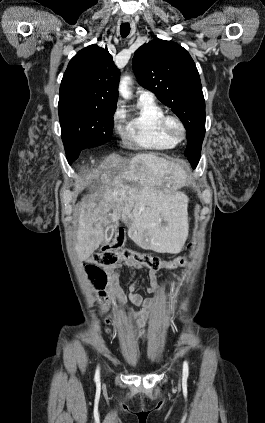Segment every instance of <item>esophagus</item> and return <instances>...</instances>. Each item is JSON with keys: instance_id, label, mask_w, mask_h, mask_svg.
I'll use <instances>...</instances> for the list:
<instances>
[{"instance_id": "obj_1", "label": "esophagus", "mask_w": 265, "mask_h": 423, "mask_svg": "<svg viewBox=\"0 0 265 423\" xmlns=\"http://www.w3.org/2000/svg\"><path fill=\"white\" fill-rule=\"evenodd\" d=\"M123 21H124V22H129V21H130V18H129V17H124V18H123Z\"/></svg>"}]
</instances>
